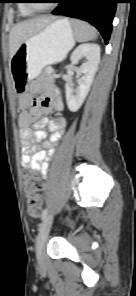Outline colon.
Instances as JSON below:
<instances>
[{
	"label": "colon",
	"instance_id": "5ec220e1",
	"mask_svg": "<svg viewBox=\"0 0 136 296\" xmlns=\"http://www.w3.org/2000/svg\"><path fill=\"white\" fill-rule=\"evenodd\" d=\"M43 185L35 175L27 171L24 173V189L29 196L27 209L30 216L36 218L42 210V195L40 193Z\"/></svg>",
	"mask_w": 136,
	"mask_h": 296
}]
</instances>
